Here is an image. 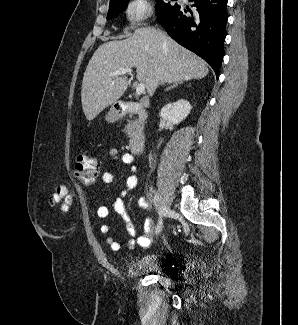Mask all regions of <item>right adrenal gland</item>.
Here are the masks:
<instances>
[{"mask_svg": "<svg viewBox=\"0 0 298 325\" xmlns=\"http://www.w3.org/2000/svg\"><path fill=\"white\" fill-rule=\"evenodd\" d=\"M182 80H175V82H172V84H170V86H167V88H165V90H171V88H174V86H178V84H181Z\"/></svg>", "mask_w": 298, "mask_h": 325, "instance_id": "1", "label": "right adrenal gland"}]
</instances>
